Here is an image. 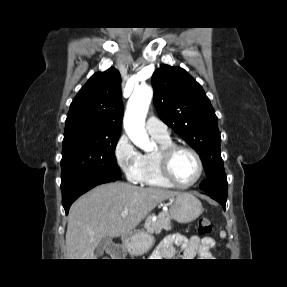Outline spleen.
<instances>
[{
  "label": "spleen",
  "instance_id": "1",
  "mask_svg": "<svg viewBox=\"0 0 287 287\" xmlns=\"http://www.w3.org/2000/svg\"><path fill=\"white\" fill-rule=\"evenodd\" d=\"M220 236H221L222 238H225V237H226V232H225V231H221V232H220Z\"/></svg>",
  "mask_w": 287,
  "mask_h": 287
}]
</instances>
